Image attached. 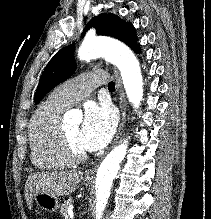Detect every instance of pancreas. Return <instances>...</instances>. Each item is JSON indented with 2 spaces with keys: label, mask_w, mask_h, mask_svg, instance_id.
I'll return each mask as SVG.
<instances>
[{
  "label": "pancreas",
  "mask_w": 211,
  "mask_h": 219,
  "mask_svg": "<svg viewBox=\"0 0 211 219\" xmlns=\"http://www.w3.org/2000/svg\"><path fill=\"white\" fill-rule=\"evenodd\" d=\"M72 203V199H68L66 201H64V203L62 204L61 208H60V215L62 217H66L67 214H68V209H69V206L70 204Z\"/></svg>",
  "instance_id": "cf45deb5"
}]
</instances>
